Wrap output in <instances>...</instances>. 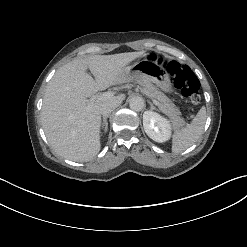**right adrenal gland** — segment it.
Returning a JSON list of instances; mask_svg holds the SVG:
<instances>
[{
  "label": "right adrenal gland",
  "instance_id": "obj_1",
  "mask_svg": "<svg viewBox=\"0 0 247 247\" xmlns=\"http://www.w3.org/2000/svg\"><path fill=\"white\" fill-rule=\"evenodd\" d=\"M107 118H108V116L103 117V122H102V127H104L105 132L108 130Z\"/></svg>",
  "mask_w": 247,
  "mask_h": 247
}]
</instances>
